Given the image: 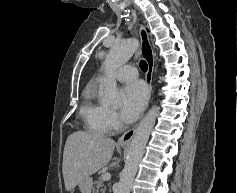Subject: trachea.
I'll use <instances>...</instances> for the list:
<instances>
[{
    "label": "trachea",
    "mask_w": 237,
    "mask_h": 193,
    "mask_svg": "<svg viewBox=\"0 0 237 193\" xmlns=\"http://www.w3.org/2000/svg\"><path fill=\"white\" fill-rule=\"evenodd\" d=\"M140 67H141L142 71H144V72L147 71L148 66H147V63L144 60L140 61Z\"/></svg>",
    "instance_id": "3493384b"
}]
</instances>
